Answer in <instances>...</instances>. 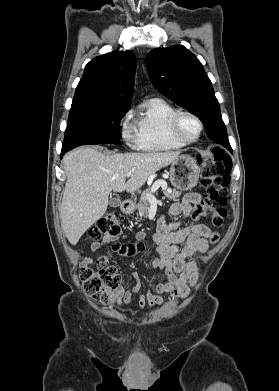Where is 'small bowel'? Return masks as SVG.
<instances>
[{"label":"small bowel","instance_id":"1","mask_svg":"<svg viewBox=\"0 0 279 391\" xmlns=\"http://www.w3.org/2000/svg\"><path fill=\"white\" fill-rule=\"evenodd\" d=\"M201 195L197 192L187 194L181 202H173L168 209L172 216H181V220L167 222L162 216L158 220L153 240L157 250V257L152 262L153 270H161L167 276V281L156 284L145 293L141 292L135 309H143L146 305L152 309L155 306L163 305L162 293H169L174 298H184L187 295V285H193L197 279V268L192 256L198 253H205L209 249L208 239L212 230L205 224L191 223L181 227L182 220L192 213V205H198ZM145 232L136 234L137 240H143ZM107 240L95 241L91 245L92 251L99 250ZM183 244L182 247L179 245ZM92 260L86 258L82 265L90 266ZM133 283L129 287L119 288L117 295L127 306H132V297L139 293L142 281L137 272L132 273Z\"/></svg>","mask_w":279,"mask_h":391}]
</instances>
